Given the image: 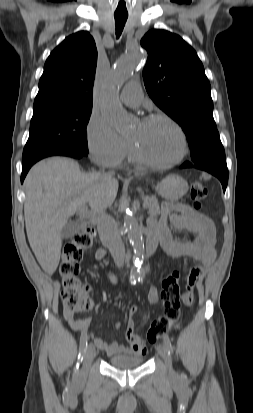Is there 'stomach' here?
Returning <instances> with one entry per match:
<instances>
[{"mask_svg": "<svg viewBox=\"0 0 253 413\" xmlns=\"http://www.w3.org/2000/svg\"><path fill=\"white\" fill-rule=\"evenodd\" d=\"M155 189L162 198L176 201L187 193L188 183L182 177L172 174L157 184Z\"/></svg>", "mask_w": 253, "mask_h": 413, "instance_id": "obj_1", "label": "stomach"}]
</instances>
